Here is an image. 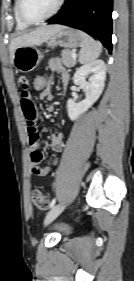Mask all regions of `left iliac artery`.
<instances>
[{"label": "left iliac artery", "instance_id": "left-iliac-artery-1", "mask_svg": "<svg viewBox=\"0 0 134 281\" xmlns=\"http://www.w3.org/2000/svg\"><path fill=\"white\" fill-rule=\"evenodd\" d=\"M55 203H56V198H54V199L51 201L49 208L52 209V208L54 207Z\"/></svg>", "mask_w": 134, "mask_h": 281}]
</instances>
